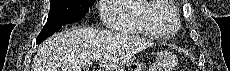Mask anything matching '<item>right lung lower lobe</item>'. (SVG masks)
<instances>
[{
	"label": "right lung lower lobe",
	"instance_id": "obj_1",
	"mask_svg": "<svg viewBox=\"0 0 230 71\" xmlns=\"http://www.w3.org/2000/svg\"><path fill=\"white\" fill-rule=\"evenodd\" d=\"M62 26L63 25H59V26H55V27H51V28H43V30L40 32V34L38 35V37L36 39L37 44L41 43L46 38H48L49 36H51L53 33H55L56 31H58Z\"/></svg>",
	"mask_w": 230,
	"mask_h": 71
}]
</instances>
